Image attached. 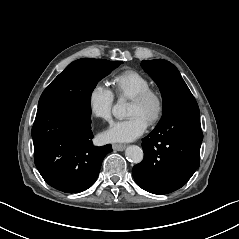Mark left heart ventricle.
Listing matches in <instances>:
<instances>
[{
    "mask_svg": "<svg viewBox=\"0 0 239 239\" xmlns=\"http://www.w3.org/2000/svg\"><path fill=\"white\" fill-rule=\"evenodd\" d=\"M155 110V103L154 101L150 100L144 104L136 103L130 100L129 109H128V116H132L134 114L141 115L147 122H149L152 114Z\"/></svg>",
    "mask_w": 239,
    "mask_h": 239,
    "instance_id": "obj_1",
    "label": "left heart ventricle"
}]
</instances>
